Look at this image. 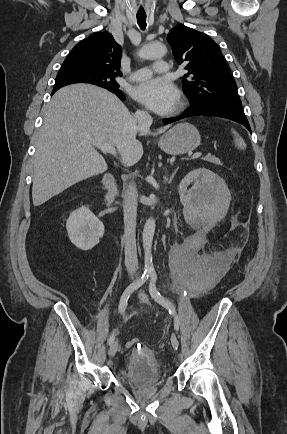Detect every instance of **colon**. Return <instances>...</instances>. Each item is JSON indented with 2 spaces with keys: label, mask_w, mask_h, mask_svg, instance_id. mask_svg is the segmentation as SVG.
Returning <instances> with one entry per match:
<instances>
[{
  "label": "colon",
  "mask_w": 287,
  "mask_h": 434,
  "mask_svg": "<svg viewBox=\"0 0 287 434\" xmlns=\"http://www.w3.org/2000/svg\"><path fill=\"white\" fill-rule=\"evenodd\" d=\"M138 343H139V340H138V339H132V340H129V341L126 343V347H127V348H133V347L137 346Z\"/></svg>",
  "instance_id": "5ec220e1"
}]
</instances>
